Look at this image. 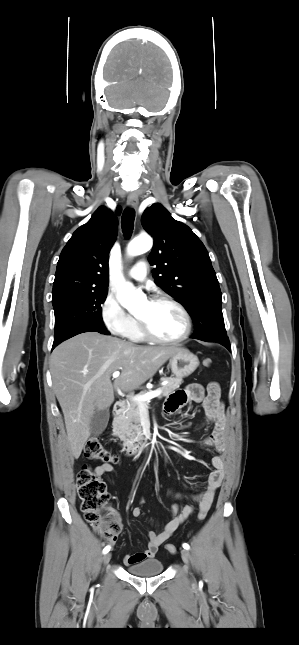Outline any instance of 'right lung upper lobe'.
<instances>
[{
  "mask_svg": "<svg viewBox=\"0 0 299 645\" xmlns=\"http://www.w3.org/2000/svg\"><path fill=\"white\" fill-rule=\"evenodd\" d=\"M117 224L113 212L101 206L73 233L57 264L52 300L65 292L108 290V255L116 240Z\"/></svg>",
  "mask_w": 299,
  "mask_h": 645,
  "instance_id": "cb5924a9",
  "label": "right lung upper lobe"
}]
</instances>
